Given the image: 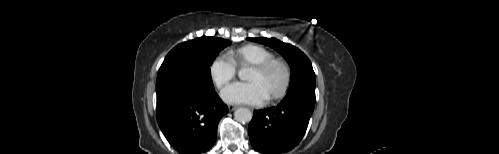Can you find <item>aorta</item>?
<instances>
[{"mask_svg": "<svg viewBox=\"0 0 499 154\" xmlns=\"http://www.w3.org/2000/svg\"><path fill=\"white\" fill-rule=\"evenodd\" d=\"M238 75H239L240 79H242V80L246 79V69L243 68V69L239 70ZM252 116H253L252 112L248 108H238L234 112L235 120H237L238 122H241V123L250 122L252 119Z\"/></svg>", "mask_w": 499, "mask_h": 154, "instance_id": "aorta-1", "label": "aorta"}]
</instances>
